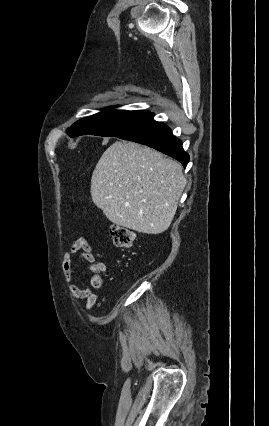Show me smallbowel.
Instances as JSON below:
<instances>
[{"instance_id": "obj_1", "label": "small bowel", "mask_w": 269, "mask_h": 426, "mask_svg": "<svg viewBox=\"0 0 269 426\" xmlns=\"http://www.w3.org/2000/svg\"><path fill=\"white\" fill-rule=\"evenodd\" d=\"M77 258L88 262V271H104L105 265L97 261L93 249L84 237H79L70 243L63 256V273L66 281L71 283L69 286L70 293L77 300L85 301V308L90 310L97 301V293L94 288L101 287L93 285V287H80L77 284H72L75 279V267L73 259Z\"/></svg>"}]
</instances>
